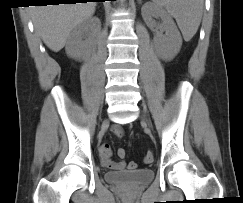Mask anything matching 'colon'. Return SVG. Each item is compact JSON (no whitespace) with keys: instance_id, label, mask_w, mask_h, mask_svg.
Masks as SVG:
<instances>
[{"instance_id":"5ec220e1","label":"colon","mask_w":243,"mask_h":203,"mask_svg":"<svg viewBox=\"0 0 243 203\" xmlns=\"http://www.w3.org/2000/svg\"><path fill=\"white\" fill-rule=\"evenodd\" d=\"M119 154L122 155V156H125L126 152H125L124 149H120ZM153 160H154V154L151 151L147 152L144 156V162L145 163H152ZM128 167H129V169L133 170V169L136 168V163L130 162Z\"/></svg>"}]
</instances>
